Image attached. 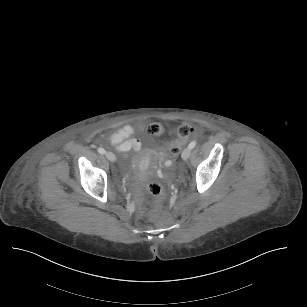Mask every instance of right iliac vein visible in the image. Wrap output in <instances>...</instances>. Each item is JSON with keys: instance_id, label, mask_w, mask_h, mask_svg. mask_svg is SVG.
Wrapping results in <instances>:
<instances>
[{"instance_id": "63e3f726", "label": "right iliac vein", "mask_w": 307, "mask_h": 307, "mask_svg": "<svg viewBox=\"0 0 307 307\" xmlns=\"http://www.w3.org/2000/svg\"><path fill=\"white\" fill-rule=\"evenodd\" d=\"M106 157L111 162H114L116 160V157L112 152H106Z\"/></svg>"}]
</instances>
